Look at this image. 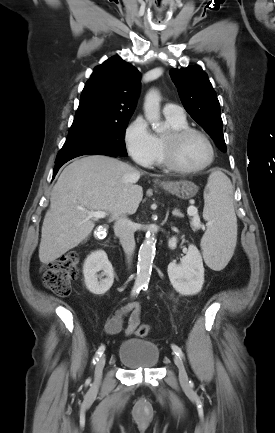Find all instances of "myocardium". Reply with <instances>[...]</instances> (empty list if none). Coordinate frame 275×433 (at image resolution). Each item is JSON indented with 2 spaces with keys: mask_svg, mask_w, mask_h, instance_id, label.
<instances>
[{
  "mask_svg": "<svg viewBox=\"0 0 275 433\" xmlns=\"http://www.w3.org/2000/svg\"><path fill=\"white\" fill-rule=\"evenodd\" d=\"M192 134H198L205 139L210 149V157L208 161L203 165L189 168L184 167L179 163L177 159V149L180 143ZM163 153L164 162L168 168L178 173L191 174L198 173L207 169L215 159L216 150L212 139L205 131L195 127H185L181 129L171 130L165 137H163Z\"/></svg>",
  "mask_w": 275,
  "mask_h": 433,
  "instance_id": "myocardium-1",
  "label": "myocardium"
}]
</instances>
